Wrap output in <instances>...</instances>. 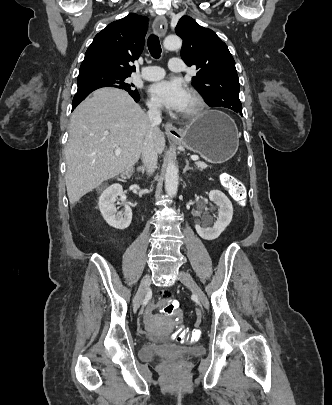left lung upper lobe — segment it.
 Returning a JSON list of instances; mask_svg holds the SVG:
<instances>
[{
    "label": "left lung upper lobe",
    "instance_id": "5c2ea615",
    "mask_svg": "<svg viewBox=\"0 0 332 405\" xmlns=\"http://www.w3.org/2000/svg\"><path fill=\"white\" fill-rule=\"evenodd\" d=\"M175 31L183 39L181 58L188 66L196 65L198 72L192 83L206 103L233 111L242 109L235 61L226 44L189 16L179 20Z\"/></svg>",
    "mask_w": 332,
    "mask_h": 405
}]
</instances>
